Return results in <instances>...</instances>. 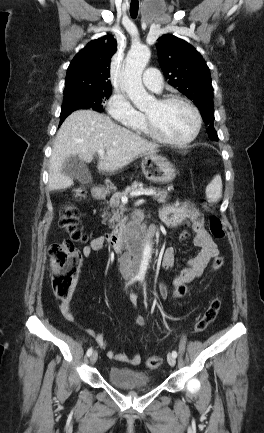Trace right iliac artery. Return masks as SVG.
<instances>
[{
    "instance_id": "obj_1",
    "label": "right iliac artery",
    "mask_w": 264,
    "mask_h": 433,
    "mask_svg": "<svg viewBox=\"0 0 264 433\" xmlns=\"http://www.w3.org/2000/svg\"><path fill=\"white\" fill-rule=\"evenodd\" d=\"M133 281H135V278L134 279H132L128 284H130V283H132ZM92 352H93V349L92 348H89L88 350H87V356H90L91 354H92Z\"/></svg>"
}]
</instances>
